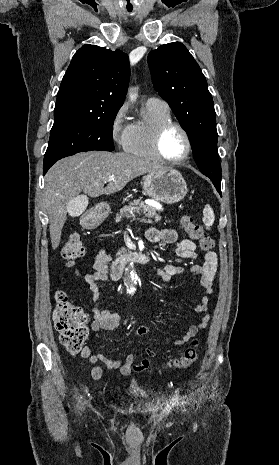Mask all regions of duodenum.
<instances>
[{
  "instance_id": "duodenum-1",
  "label": "duodenum",
  "mask_w": 279,
  "mask_h": 465,
  "mask_svg": "<svg viewBox=\"0 0 279 465\" xmlns=\"http://www.w3.org/2000/svg\"><path fill=\"white\" fill-rule=\"evenodd\" d=\"M129 262H138L145 264L148 262V256L140 251H123L113 265V279L120 278L125 265Z\"/></svg>"
}]
</instances>
